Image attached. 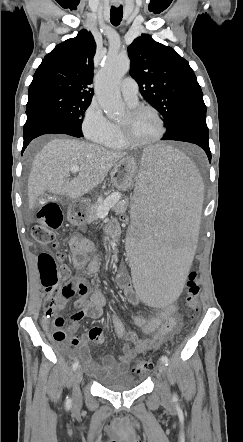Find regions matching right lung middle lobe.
<instances>
[{
	"label": "right lung middle lobe",
	"mask_w": 243,
	"mask_h": 442,
	"mask_svg": "<svg viewBox=\"0 0 243 442\" xmlns=\"http://www.w3.org/2000/svg\"><path fill=\"white\" fill-rule=\"evenodd\" d=\"M90 103L91 100L82 99L70 94L48 92L29 97L26 112L32 109L49 110L61 116L75 129L81 132V123L84 118V113Z\"/></svg>",
	"instance_id": "1"
}]
</instances>
